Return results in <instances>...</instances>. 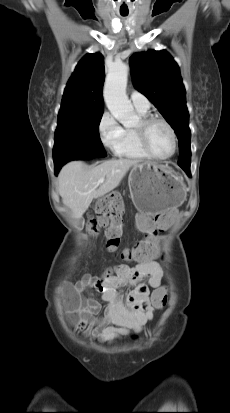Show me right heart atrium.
Instances as JSON below:
<instances>
[{
	"instance_id": "right-heart-atrium-1",
	"label": "right heart atrium",
	"mask_w": 230,
	"mask_h": 413,
	"mask_svg": "<svg viewBox=\"0 0 230 413\" xmlns=\"http://www.w3.org/2000/svg\"><path fill=\"white\" fill-rule=\"evenodd\" d=\"M98 134L102 145L115 153L123 135V128L108 111L104 112L98 123Z\"/></svg>"
}]
</instances>
